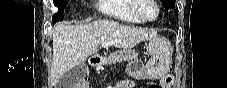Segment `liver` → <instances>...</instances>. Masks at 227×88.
<instances>
[{
	"mask_svg": "<svg viewBox=\"0 0 227 88\" xmlns=\"http://www.w3.org/2000/svg\"><path fill=\"white\" fill-rule=\"evenodd\" d=\"M157 36L156 31L99 20L85 25L57 24L53 31V61L49 85H56L64 73L97 53L102 43L130 49L138 43Z\"/></svg>",
	"mask_w": 227,
	"mask_h": 88,
	"instance_id": "obj_1",
	"label": "liver"
}]
</instances>
